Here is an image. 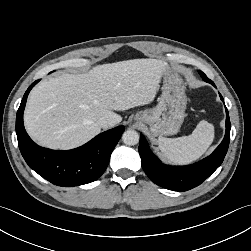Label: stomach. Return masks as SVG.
<instances>
[{
	"instance_id": "stomach-1",
	"label": "stomach",
	"mask_w": 251,
	"mask_h": 251,
	"mask_svg": "<svg viewBox=\"0 0 251 251\" xmlns=\"http://www.w3.org/2000/svg\"><path fill=\"white\" fill-rule=\"evenodd\" d=\"M162 77V95L157 106L138 112L134 118L137 123L149 125L152 137L176 134L185 117L187 96L182 78L169 67Z\"/></svg>"
}]
</instances>
